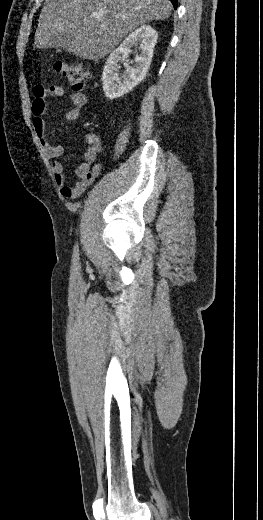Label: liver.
<instances>
[{
	"mask_svg": "<svg viewBox=\"0 0 263 520\" xmlns=\"http://www.w3.org/2000/svg\"><path fill=\"white\" fill-rule=\"evenodd\" d=\"M171 10L169 0H45L34 45L39 49L54 47L53 37L66 34L65 51L98 60L139 26L167 19ZM95 13L103 16L92 17Z\"/></svg>",
	"mask_w": 263,
	"mask_h": 520,
	"instance_id": "6515ba94",
	"label": "liver"
}]
</instances>
